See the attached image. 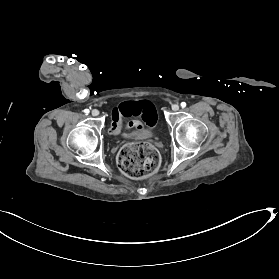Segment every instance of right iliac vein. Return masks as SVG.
Returning a JSON list of instances; mask_svg holds the SVG:
<instances>
[{
	"instance_id": "63e3f726",
	"label": "right iliac vein",
	"mask_w": 279,
	"mask_h": 279,
	"mask_svg": "<svg viewBox=\"0 0 279 279\" xmlns=\"http://www.w3.org/2000/svg\"><path fill=\"white\" fill-rule=\"evenodd\" d=\"M91 114H92L93 116H98V115H99V111H98L97 109H93V110L91 111Z\"/></svg>"
}]
</instances>
